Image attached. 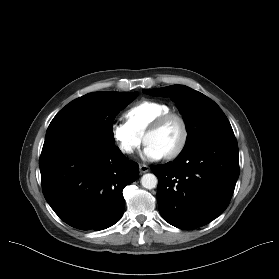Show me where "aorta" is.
<instances>
[{
	"instance_id": "1",
	"label": "aorta",
	"mask_w": 279,
	"mask_h": 279,
	"mask_svg": "<svg viewBox=\"0 0 279 279\" xmlns=\"http://www.w3.org/2000/svg\"><path fill=\"white\" fill-rule=\"evenodd\" d=\"M141 185L146 188V189H154L157 184H158V179L157 177L152 174V173H147V174H144L142 177H141Z\"/></svg>"
}]
</instances>
